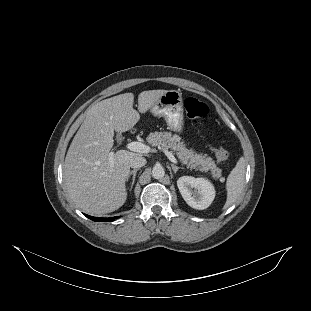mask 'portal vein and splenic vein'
I'll use <instances>...</instances> for the list:
<instances>
[{
  "instance_id": "obj_1",
  "label": "portal vein and splenic vein",
  "mask_w": 311,
  "mask_h": 311,
  "mask_svg": "<svg viewBox=\"0 0 311 311\" xmlns=\"http://www.w3.org/2000/svg\"><path fill=\"white\" fill-rule=\"evenodd\" d=\"M127 148L130 151L137 152V153H149L151 151L150 146L138 142V141H133L127 144ZM164 154L167 156V158L172 162V163H177V159L173 155L171 151L168 149H163ZM109 164L110 167L112 168L114 166V157H113V152L109 154Z\"/></svg>"
}]
</instances>
